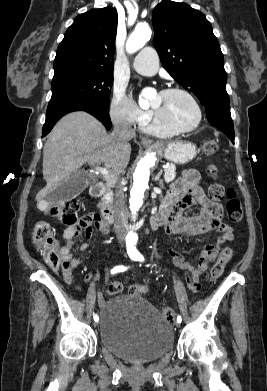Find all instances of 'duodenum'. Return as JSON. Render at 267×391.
Returning <instances> with one entry per match:
<instances>
[{"label":"duodenum","mask_w":267,"mask_h":391,"mask_svg":"<svg viewBox=\"0 0 267 391\" xmlns=\"http://www.w3.org/2000/svg\"><path fill=\"white\" fill-rule=\"evenodd\" d=\"M106 192H107V187L104 183L94 184L90 189L91 195L95 198L103 197L106 194ZM99 210L101 216L103 217L104 221L107 224H112L114 222L115 214H114V210L110 206L101 203L99 205ZM163 222H164L163 217L161 215H157L152 219L151 224L152 227L155 229L158 228Z\"/></svg>","instance_id":"obj_1"}]
</instances>
